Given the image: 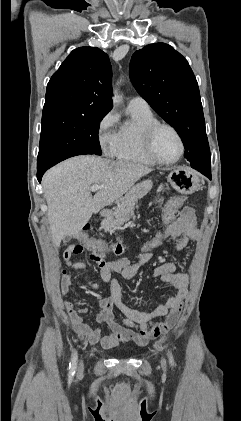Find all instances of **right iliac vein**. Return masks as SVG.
Listing matches in <instances>:
<instances>
[{
  "mask_svg": "<svg viewBox=\"0 0 241 421\" xmlns=\"http://www.w3.org/2000/svg\"><path fill=\"white\" fill-rule=\"evenodd\" d=\"M82 371H83V362L81 361L79 364V372H82Z\"/></svg>",
  "mask_w": 241,
  "mask_h": 421,
  "instance_id": "63e3f726",
  "label": "right iliac vein"
}]
</instances>
